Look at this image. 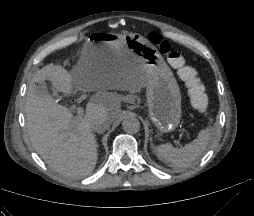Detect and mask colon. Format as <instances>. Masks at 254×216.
Listing matches in <instances>:
<instances>
[{
    "label": "colon",
    "instance_id": "obj_1",
    "mask_svg": "<svg viewBox=\"0 0 254 216\" xmlns=\"http://www.w3.org/2000/svg\"><path fill=\"white\" fill-rule=\"evenodd\" d=\"M149 40L159 46L169 64L177 70L179 78L186 87L192 107L198 112L205 111L209 101L195 69L187 64L181 53L172 50L170 44L163 40L159 33L150 32Z\"/></svg>",
    "mask_w": 254,
    "mask_h": 216
}]
</instances>
